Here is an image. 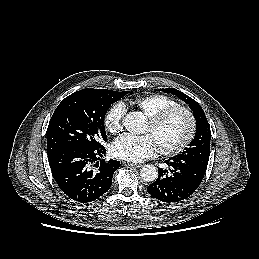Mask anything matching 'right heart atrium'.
<instances>
[{
	"label": "right heart atrium",
	"mask_w": 259,
	"mask_h": 259,
	"mask_svg": "<svg viewBox=\"0 0 259 259\" xmlns=\"http://www.w3.org/2000/svg\"><path fill=\"white\" fill-rule=\"evenodd\" d=\"M126 106L123 102L113 104L105 114V128L112 134L119 133L123 128Z\"/></svg>",
	"instance_id": "right-heart-atrium-1"
}]
</instances>
